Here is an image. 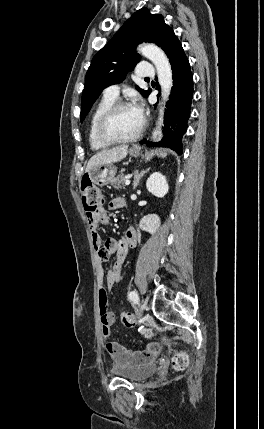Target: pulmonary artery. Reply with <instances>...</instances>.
Returning <instances> with one entry per match:
<instances>
[{"mask_svg":"<svg viewBox=\"0 0 264 429\" xmlns=\"http://www.w3.org/2000/svg\"><path fill=\"white\" fill-rule=\"evenodd\" d=\"M155 75L154 67L148 62H142L138 66V76L143 78H150ZM119 86L118 85H110L104 90V96L110 99H117L119 96Z\"/></svg>","mask_w":264,"mask_h":429,"instance_id":"e3ab8cb5","label":"pulmonary artery"}]
</instances>
